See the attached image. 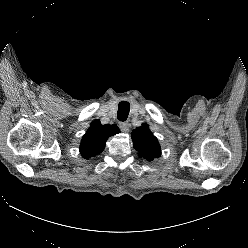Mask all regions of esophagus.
I'll return each mask as SVG.
<instances>
[{"instance_id":"1","label":"esophagus","mask_w":248,"mask_h":248,"mask_svg":"<svg viewBox=\"0 0 248 248\" xmlns=\"http://www.w3.org/2000/svg\"><path fill=\"white\" fill-rule=\"evenodd\" d=\"M129 123L128 122H120L119 123V127L121 129L122 132H128L129 131Z\"/></svg>"}]
</instances>
